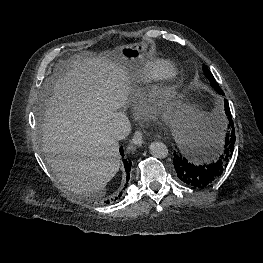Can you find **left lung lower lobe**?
Masks as SVG:
<instances>
[{
	"instance_id": "1",
	"label": "left lung lower lobe",
	"mask_w": 263,
	"mask_h": 263,
	"mask_svg": "<svg viewBox=\"0 0 263 263\" xmlns=\"http://www.w3.org/2000/svg\"><path fill=\"white\" fill-rule=\"evenodd\" d=\"M224 95L223 91L218 92ZM225 113L229 124L225 144L221 154L212 163L199 165L182 149L174 152V168L178 178L189 186L203 188L213 184L224 172L234 151L235 130L228 101L225 100Z\"/></svg>"
}]
</instances>
